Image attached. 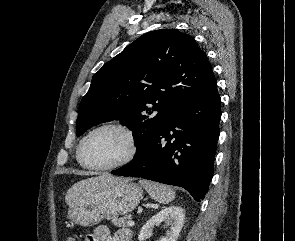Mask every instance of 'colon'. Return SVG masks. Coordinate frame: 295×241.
Wrapping results in <instances>:
<instances>
[{
	"mask_svg": "<svg viewBox=\"0 0 295 241\" xmlns=\"http://www.w3.org/2000/svg\"><path fill=\"white\" fill-rule=\"evenodd\" d=\"M66 241H74L73 239H67Z\"/></svg>",
	"mask_w": 295,
	"mask_h": 241,
	"instance_id": "colon-1",
	"label": "colon"
}]
</instances>
